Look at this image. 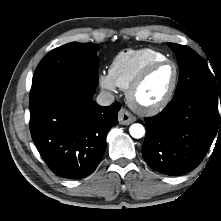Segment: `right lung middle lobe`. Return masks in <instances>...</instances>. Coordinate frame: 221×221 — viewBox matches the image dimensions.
Masks as SVG:
<instances>
[{"mask_svg":"<svg viewBox=\"0 0 221 221\" xmlns=\"http://www.w3.org/2000/svg\"><path fill=\"white\" fill-rule=\"evenodd\" d=\"M94 43L72 42L47 54L37 66L30 94L32 102L48 86L66 78H80L98 84L99 62Z\"/></svg>","mask_w":221,"mask_h":221,"instance_id":"right-lung-middle-lobe-1","label":"right lung middle lobe"}]
</instances>
